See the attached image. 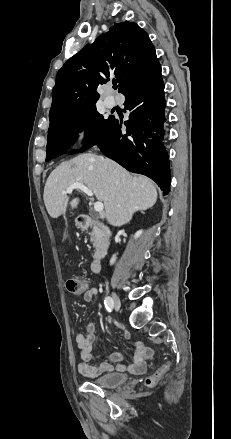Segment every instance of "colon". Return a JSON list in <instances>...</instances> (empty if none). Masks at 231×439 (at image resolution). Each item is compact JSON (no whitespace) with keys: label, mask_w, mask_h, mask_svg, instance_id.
I'll return each mask as SVG.
<instances>
[{"label":"colon","mask_w":231,"mask_h":439,"mask_svg":"<svg viewBox=\"0 0 231 439\" xmlns=\"http://www.w3.org/2000/svg\"><path fill=\"white\" fill-rule=\"evenodd\" d=\"M66 286H67L68 291L71 293H74V294H81L87 288L86 282L80 278L68 279L66 282ZM145 356L146 357L151 356L150 349H146ZM167 370H168V365H163L162 367L157 369L152 375L148 376L145 379L144 384L147 387H151V386L155 385L163 377V375L166 373Z\"/></svg>","instance_id":"colon-1"}]
</instances>
